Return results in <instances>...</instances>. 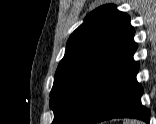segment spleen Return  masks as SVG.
I'll use <instances>...</instances> for the list:
<instances>
[{"label":"spleen","instance_id":"1","mask_svg":"<svg viewBox=\"0 0 156 124\" xmlns=\"http://www.w3.org/2000/svg\"><path fill=\"white\" fill-rule=\"evenodd\" d=\"M126 124H143V123L140 122V121H132V120H130V121H126Z\"/></svg>","mask_w":156,"mask_h":124}]
</instances>
